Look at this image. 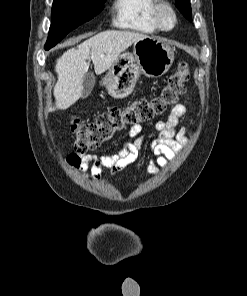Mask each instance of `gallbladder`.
I'll return each instance as SVG.
<instances>
[{"label": "gallbladder", "mask_w": 247, "mask_h": 296, "mask_svg": "<svg viewBox=\"0 0 247 296\" xmlns=\"http://www.w3.org/2000/svg\"><path fill=\"white\" fill-rule=\"evenodd\" d=\"M94 86V77L90 73H86L83 78V91H82V98H87Z\"/></svg>", "instance_id": "bac80fb5"}]
</instances>
